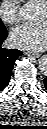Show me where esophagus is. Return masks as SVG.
Wrapping results in <instances>:
<instances>
[{"instance_id":"obj_1","label":"esophagus","mask_w":47,"mask_h":129,"mask_svg":"<svg viewBox=\"0 0 47 129\" xmlns=\"http://www.w3.org/2000/svg\"><path fill=\"white\" fill-rule=\"evenodd\" d=\"M24 54L28 55V56H31V57H34V58H38L40 56V54H38V53H32V52H29V51H24Z\"/></svg>"}]
</instances>
